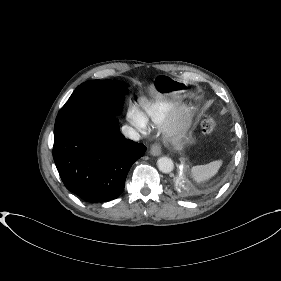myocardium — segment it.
Wrapping results in <instances>:
<instances>
[{
	"label": "myocardium",
	"instance_id": "1",
	"mask_svg": "<svg viewBox=\"0 0 281 281\" xmlns=\"http://www.w3.org/2000/svg\"><path fill=\"white\" fill-rule=\"evenodd\" d=\"M196 114L197 108L193 104H186L176 110L163 127L165 138L172 141L182 136L193 124Z\"/></svg>",
	"mask_w": 281,
	"mask_h": 281
}]
</instances>
